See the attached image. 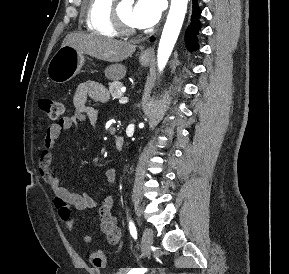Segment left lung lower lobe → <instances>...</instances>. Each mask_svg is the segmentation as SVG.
<instances>
[{"mask_svg":"<svg viewBox=\"0 0 289 274\" xmlns=\"http://www.w3.org/2000/svg\"><path fill=\"white\" fill-rule=\"evenodd\" d=\"M201 10L197 5V0H193V15H192V24L186 31V40L189 49L195 50L198 48L197 37L198 30L200 29V18ZM154 38H151L153 40Z\"/></svg>","mask_w":289,"mask_h":274,"instance_id":"1","label":"left lung lower lobe"}]
</instances>
